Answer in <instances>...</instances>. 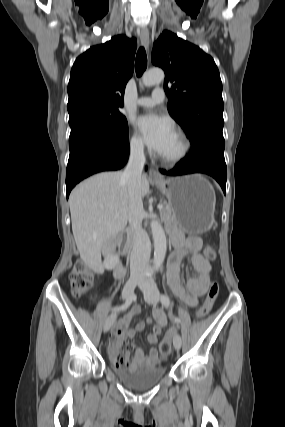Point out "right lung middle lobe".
<instances>
[{
	"label": "right lung middle lobe",
	"instance_id": "right-lung-middle-lobe-1",
	"mask_svg": "<svg viewBox=\"0 0 285 427\" xmlns=\"http://www.w3.org/2000/svg\"><path fill=\"white\" fill-rule=\"evenodd\" d=\"M69 148L87 136H100L115 143L128 139L126 118L116 108H88L69 115Z\"/></svg>",
	"mask_w": 285,
	"mask_h": 427
}]
</instances>
